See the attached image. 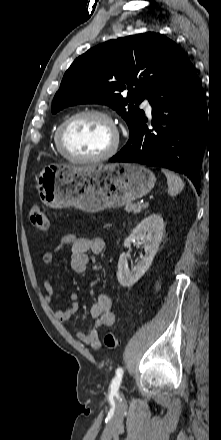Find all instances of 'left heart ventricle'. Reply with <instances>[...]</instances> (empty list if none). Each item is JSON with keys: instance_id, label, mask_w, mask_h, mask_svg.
<instances>
[{"instance_id": "obj_1", "label": "left heart ventricle", "mask_w": 221, "mask_h": 440, "mask_svg": "<svg viewBox=\"0 0 221 440\" xmlns=\"http://www.w3.org/2000/svg\"><path fill=\"white\" fill-rule=\"evenodd\" d=\"M114 133L110 124L97 116L74 120L66 129L65 146L74 156L93 157L104 153L112 145Z\"/></svg>"}]
</instances>
